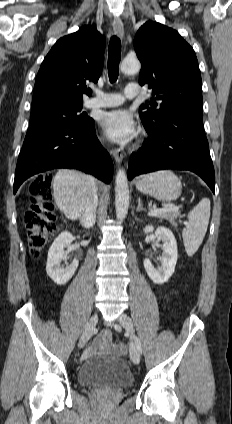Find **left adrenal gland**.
Masks as SVG:
<instances>
[{"label": "left adrenal gland", "mask_w": 232, "mask_h": 424, "mask_svg": "<svg viewBox=\"0 0 232 424\" xmlns=\"http://www.w3.org/2000/svg\"><path fill=\"white\" fill-rule=\"evenodd\" d=\"M140 211H144L145 212L146 210L142 207L141 199L138 198V206L136 208V212H140Z\"/></svg>", "instance_id": "1"}]
</instances>
